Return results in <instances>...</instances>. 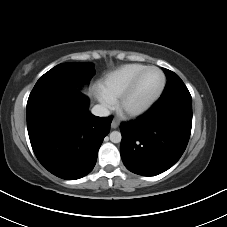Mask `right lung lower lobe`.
<instances>
[{
	"mask_svg": "<svg viewBox=\"0 0 227 227\" xmlns=\"http://www.w3.org/2000/svg\"><path fill=\"white\" fill-rule=\"evenodd\" d=\"M27 129L32 149L53 175L76 180L92 171L98 150L109 133L111 117L88 111V99L74 88L27 103Z\"/></svg>",
	"mask_w": 227,
	"mask_h": 227,
	"instance_id": "98d812e1",
	"label": "right lung lower lobe"
}]
</instances>
